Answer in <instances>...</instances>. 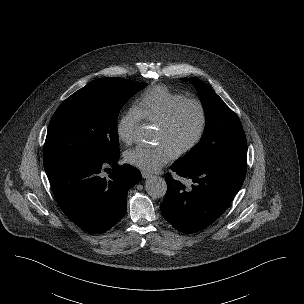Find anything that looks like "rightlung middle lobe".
<instances>
[{"mask_svg":"<svg viewBox=\"0 0 304 304\" xmlns=\"http://www.w3.org/2000/svg\"><path fill=\"white\" fill-rule=\"evenodd\" d=\"M146 85L123 78H99L72 94L61 103L50 121L43 163L119 156V111Z\"/></svg>","mask_w":304,"mask_h":304,"instance_id":"right-lung-middle-lobe-1","label":"right lung middle lobe"}]
</instances>
